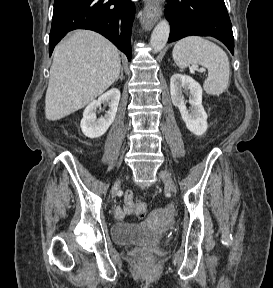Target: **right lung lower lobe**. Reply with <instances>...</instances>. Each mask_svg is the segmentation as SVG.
<instances>
[{"instance_id":"right-lung-lower-lobe-1","label":"right lung lower lobe","mask_w":273,"mask_h":288,"mask_svg":"<svg viewBox=\"0 0 273 288\" xmlns=\"http://www.w3.org/2000/svg\"><path fill=\"white\" fill-rule=\"evenodd\" d=\"M134 15L135 6L130 0H55L49 55L69 31L81 28L108 38L130 61Z\"/></svg>"}]
</instances>
